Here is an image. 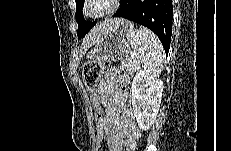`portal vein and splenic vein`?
Listing matches in <instances>:
<instances>
[{
    "label": "portal vein and splenic vein",
    "instance_id": "18ae733b",
    "mask_svg": "<svg viewBox=\"0 0 231 151\" xmlns=\"http://www.w3.org/2000/svg\"><path fill=\"white\" fill-rule=\"evenodd\" d=\"M131 56L134 57V56H135V53H132Z\"/></svg>",
    "mask_w": 231,
    "mask_h": 151
}]
</instances>
